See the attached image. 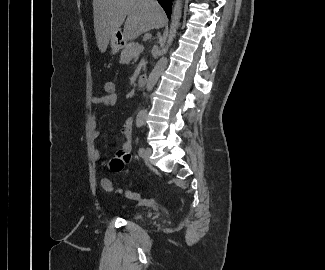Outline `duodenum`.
Listing matches in <instances>:
<instances>
[{
    "mask_svg": "<svg viewBox=\"0 0 325 270\" xmlns=\"http://www.w3.org/2000/svg\"><path fill=\"white\" fill-rule=\"evenodd\" d=\"M148 84V77L146 76H140L137 82L138 89H142L146 87Z\"/></svg>",
    "mask_w": 325,
    "mask_h": 270,
    "instance_id": "410a0bca",
    "label": "duodenum"
}]
</instances>
